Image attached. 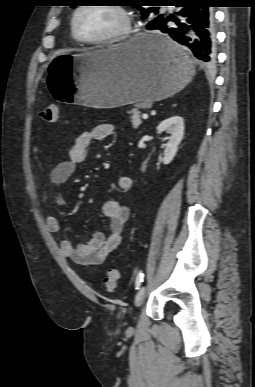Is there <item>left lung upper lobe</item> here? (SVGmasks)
I'll list each match as a JSON object with an SVG mask.
<instances>
[{"label":"left lung upper lobe","mask_w":255,"mask_h":387,"mask_svg":"<svg viewBox=\"0 0 255 387\" xmlns=\"http://www.w3.org/2000/svg\"><path fill=\"white\" fill-rule=\"evenodd\" d=\"M173 1L174 0H169V1H165V0H131L130 3L132 4L131 6H134V7L141 10L142 16L144 18L150 17V19H151L153 17V15L155 14L156 17L149 21V22H151L159 17H162L163 15L158 14V7L144 8V7H146V6H144V4H159V5H161V4H169Z\"/></svg>","instance_id":"1"}]
</instances>
